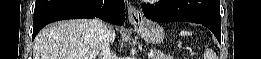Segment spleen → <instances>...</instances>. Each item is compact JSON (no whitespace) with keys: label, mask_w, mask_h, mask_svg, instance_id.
Returning a JSON list of instances; mask_svg holds the SVG:
<instances>
[{"label":"spleen","mask_w":261,"mask_h":59,"mask_svg":"<svg viewBox=\"0 0 261 59\" xmlns=\"http://www.w3.org/2000/svg\"><path fill=\"white\" fill-rule=\"evenodd\" d=\"M180 35H182V36H191L192 32L183 30V31L180 32ZM211 53H212V51L207 49L205 51V53H204L205 59H211V58H209L211 56Z\"/></svg>","instance_id":"spleen-1"}]
</instances>
